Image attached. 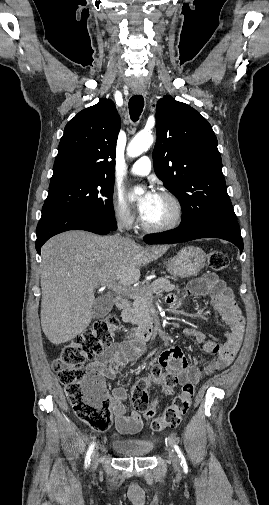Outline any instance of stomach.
Listing matches in <instances>:
<instances>
[{
  "instance_id": "obj_1",
  "label": "stomach",
  "mask_w": 269,
  "mask_h": 505,
  "mask_svg": "<svg viewBox=\"0 0 269 505\" xmlns=\"http://www.w3.org/2000/svg\"><path fill=\"white\" fill-rule=\"evenodd\" d=\"M205 252L194 246L181 249L168 263L167 270L174 277L196 275L205 265Z\"/></svg>"
}]
</instances>
